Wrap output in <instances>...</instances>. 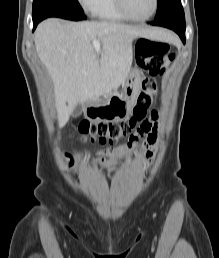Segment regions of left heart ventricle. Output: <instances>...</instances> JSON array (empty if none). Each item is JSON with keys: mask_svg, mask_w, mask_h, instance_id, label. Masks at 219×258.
I'll use <instances>...</instances> for the list:
<instances>
[{"mask_svg": "<svg viewBox=\"0 0 219 258\" xmlns=\"http://www.w3.org/2000/svg\"><path fill=\"white\" fill-rule=\"evenodd\" d=\"M129 13L134 17H145L154 8V0H125Z\"/></svg>", "mask_w": 219, "mask_h": 258, "instance_id": "1", "label": "left heart ventricle"}]
</instances>
